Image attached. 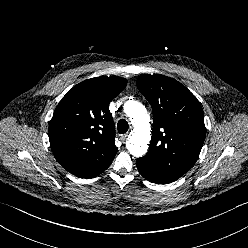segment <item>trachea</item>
<instances>
[{"instance_id": "3493384b", "label": "trachea", "mask_w": 248, "mask_h": 248, "mask_svg": "<svg viewBox=\"0 0 248 248\" xmlns=\"http://www.w3.org/2000/svg\"><path fill=\"white\" fill-rule=\"evenodd\" d=\"M129 128L128 122L124 119H120L117 123V129L120 134H124L127 132Z\"/></svg>"}]
</instances>
